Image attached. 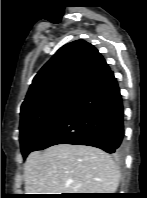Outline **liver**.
<instances>
[{
    "label": "liver",
    "mask_w": 147,
    "mask_h": 198,
    "mask_svg": "<svg viewBox=\"0 0 147 198\" xmlns=\"http://www.w3.org/2000/svg\"><path fill=\"white\" fill-rule=\"evenodd\" d=\"M24 178L26 194L114 193L120 174L99 148L58 144L30 153Z\"/></svg>",
    "instance_id": "obj_1"
}]
</instances>
